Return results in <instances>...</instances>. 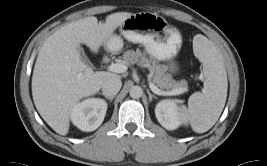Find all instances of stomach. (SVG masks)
<instances>
[{"instance_id":"stomach-1","label":"stomach","mask_w":267,"mask_h":166,"mask_svg":"<svg viewBox=\"0 0 267 166\" xmlns=\"http://www.w3.org/2000/svg\"><path fill=\"white\" fill-rule=\"evenodd\" d=\"M120 33L128 41L142 44L154 59L170 62L171 70H176L173 59L181 48V35L162 16L150 12L132 14L120 26ZM123 45L118 35H111L105 44L111 52L120 51Z\"/></svg>"}]
</instances>
